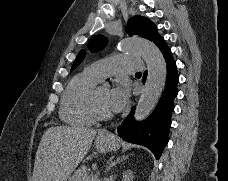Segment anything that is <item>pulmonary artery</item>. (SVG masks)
Listing matches in <instances>:
<instances>
[{
	"instance_id": "obj_1",
	"label": "pulmonary artery",
	"mask_w": 228,
	"mask_h": 181,
	"mask_svg": "<svg viewBox=\"0 0 228 181\" xmlns=\"http://www.w3.org/2000/svg\"><path fill=\"white\" fill-rule=\"evenodd\" d=\"M139 57H106V62H94L89 65V75L104 78L112 75V71H141Z\"/></svg>"
}]
</instances>
